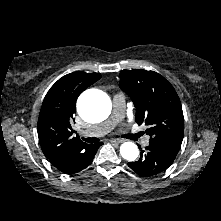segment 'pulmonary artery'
I'll list each match as a JSON object with an SVG mask.
<instances>
[{
  "label": "pulmonary artery",
  "instance_id": "1",
  "mask_svg": "<svg viewBox=\"0 0 221 221\" xmlns=\"http://www.w3.org/2000/svg\"><path fill=\"white\" fill-rule=\"evenodd\" d=\"M113 111L111 117L105 122L93 126L85 135L103 136L110 132L124 117L125 111V96L122 93H117L113 96ZM143 146L149 145V137H144L142 140Z\"/></svg>",
  "mask_w": 221,
  "mask_h": 221
}]
</instances>
